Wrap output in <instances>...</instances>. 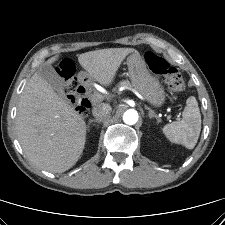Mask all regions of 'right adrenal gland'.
<instances>
[{
	"label": "right adrenal gland",
	"instance_id": "obj_1",
	"mask_svg": "<svg viewBox=\"0 0 225 225\" xmlns=\"http://www.w3.org/2000/svg\"><path fill=\"white\" fill-rule=\"evenodd\" d=\"M93 122L100 124L102 122V120H100V119H91L89 124H91Z\"/></svg>",
	"mask_w": 225,
	"mask_h": 225
}]
</instances>
